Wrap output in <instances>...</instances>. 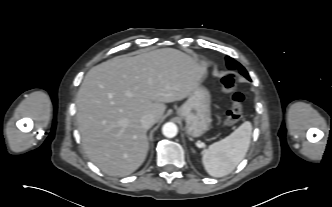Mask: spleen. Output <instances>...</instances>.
Segmentation results:
<instances>
[{"mask_svg": "<svg viewBox=\"0 0 332 207\" xmlns=\"http://www.w3.org/2000/svg\"><path fill=\"white\" fill-rule=\"evenodd\" d=\"M251 134L252 125L246 121L229 136L203 151L202 162L207 173L213 177L230 174L245 157Z\"/></svg>", "mask_w": 332, "mask_h": 207, "instance_id": "3e777b00", "label": "spleen"}]
</instances>
